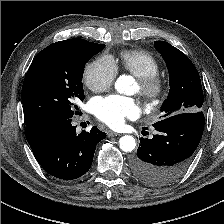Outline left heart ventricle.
<instances>
[{
  "label": "left heart ventricle",
  "mask_w": 224,
  "mask_h": 224,
  "mask_svg": "<svg viewBox=\"0 0 224 224\" xmlns=\"http://www.w3.org/2000/svg\"><path fill=\"white\" fill-rule=\"evenodd\" d=\"M135 91H136V92L139 91V86H138V84H136V86H135Z\"/></svg>",
  "instance_id": "left-heart-ventricle-1"
}]
</instances>
